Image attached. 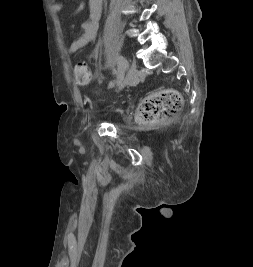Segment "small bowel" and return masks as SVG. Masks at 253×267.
Returning a JSON list of instances; mask_svg holds the SVG:
<instances>
[{"label":"small bowel","mask_w":253,"mask_h":267,"mask_svg":"<svg viewBox=\"0 0 253 267\" xmlns=\"http://www.w3.org/2000/svg\"><path fill=\"white\" fill-rule=\"evenodd\" d=\"M89 16L81 24V33L78 38H76L69 47V52L75 53L81 48L85 47L96 37L99 20L102 12V0H89ZM52 11L55 14H59L63 7L60 3H53Z\"/></svg>","instance_id":"obj_1"}]
</instances>
